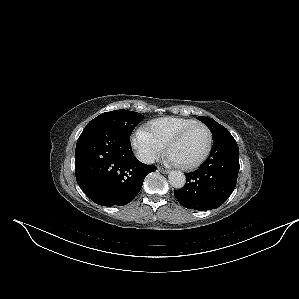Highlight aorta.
Here are the masks:
<instances>
[{"label": "aorta", "mask_w": 299, "mask_h": 299, "mask_svg": "<svg viewBox=\"0 0 299 299\" xmlns=\"http://www.w3.org/2000/svg\"><path fill=\"white\" fill-rule=\"evenodd\" d=\"M168 180L171 186L176 189H181L186 183V177L181 171H171L168 175Z\"/></svg>", "instance_id": "762f6f07"}]
</instances>
